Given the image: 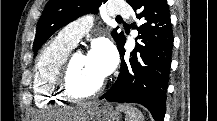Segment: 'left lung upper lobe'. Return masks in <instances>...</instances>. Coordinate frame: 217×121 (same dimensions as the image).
Returning <instances> with one entry per match:
<instances>
[{"mask_svg":"<svg viewBox=\"0 0 217 121\" xmlns=\"http://www.w3.org/2000/svg\"><path fill=\"white\" fill-rule=\"evenodd\" d=\"M107 0H49L40 17L33 43L34 54L46 40L64 25L87 13H97L100 5ZM127 2L129 0H126ZM113 38L118 45L123 38V32H113Z\"/></svg>","mask_w":217,"mask_h":121,"instance_id":"5c2ea615","label":"left lung upper lobe"}]
</instances>
